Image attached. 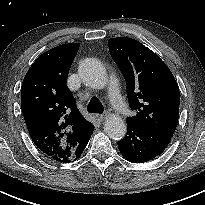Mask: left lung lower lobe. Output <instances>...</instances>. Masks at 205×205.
<instances>
[{"label":"left lung lower lobe","instance_id":"left-lung-lower-lobe-1","mask_svg":"<svg viewBox=\"0 0 205 205\" xmlns=\"http://www.w3.org/2000/svg\"><path fill=\"white\" fill-rule=\"evenodd\" d=\"M173 133L127 122V133L118 142V148L127 161L143 163L160 155Z\"/></svg>","mask_w":205,"mask_h":205}]
</instances>
